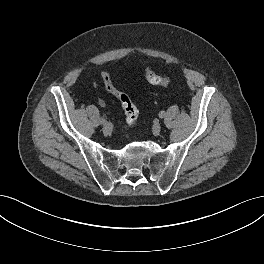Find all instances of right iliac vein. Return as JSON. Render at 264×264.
Returning a JSON list of instances; mask_svg holds the SVG:
<instances>
[{
    "mask_svg": "<svg viewBox=\"0 0 264 264\" xmlns=\"http://www.w3.org/2000/svg\"><path fill=\"white\" fill-rule=\"evenodd\" d=\"M103 129L104 131H107L109 129V123H107L106 121L103 123Z\"/></svg>",
    "mask_w": 264,
    "mask_h": 264,
    "instance_id": "63e3f726",
    "label": "right iliac vein"
}]
</instances>
